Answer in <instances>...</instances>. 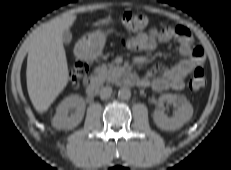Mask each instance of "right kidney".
I'll return each instance as SVG.
<instances>
[{
	"mask_svg": "<svg viewBox=\"0 0 231 170\" xmlns=\"http://www.w3.org/2000/svg\"><path fill=\"white\" fill-rule=\"evenodd\" d=\"M72 114L68 116L69 111ZM85 112V101L79 95L66 97L57 107L53 117L52 125L57 129H72L83 119Z\"/></svg>",
	"mask_w": 231,
	"mask_h": 170,
	"instance_id": "1",
	"label": "right kidney"
}]
</instances>
